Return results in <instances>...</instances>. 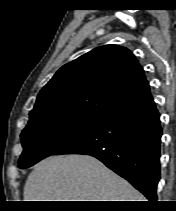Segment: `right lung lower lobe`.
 <instances>
[{"label": "right lung lower lobe", "instance_id": "right-lung-lower-lobe-1", "mask_svg": "<svg viewBox=\"0 0 176 211\" xmlns=\"http://www.w3.org/2000/svg\"><path fill=\"white\" fill-rule=\"evenodd\" d=\"M162 129L154 100L104 117L54 154H87L156 202Z\"/></svg>", "mask_w": 176, "mask_h": 211}]
</instances>
